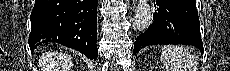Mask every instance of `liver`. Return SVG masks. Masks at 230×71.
<instances>
[{
  "label": "liver",
  "mask_w": 230,
  "mask_h": 71,
  "mask_svg": "<svg viewBox=\"0 0 230 71\" xmlns=\"http://www.w3.org/2000/svg\"><path fill=\"white\" fill-rule=\"evenodd\" d=\"M39 65L42 71H69L73 63L68 54L51 52L40 57Z\"/></svg>",
  "instance_id": "obj_1"
}]
</instances>
